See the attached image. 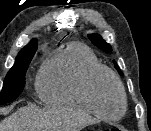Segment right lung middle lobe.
Segmentation results:
<instances>
[{
  "instance_id": "dd1d6c3e",
  "label": "right lung middle lobe",
  "mask_w": 151,
  "mask_h": 131,
  "mask_svg": "<svg viewBox=\"0 0 151 131\" xmlns=\"http://www.w3.org/2000/svg\"><path fill=\"white\" fill-rule=\"evenodd\" d=\"M38 44L24 47L16 57L14 66L7 73L0 93V105L15 100L25 86V74Z\"/></svg>"
}]
</instances>
